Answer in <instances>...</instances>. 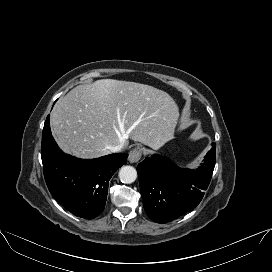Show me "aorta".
Returning a JSON list of instances; mask_svg holds the SVG:
<instances>
[{
  "label": "aorta",
  "instance_id": "obj_1",
  "mask_svg": "<svg viewBox=\"0 0 272 272\" xmlns=\"http://www.w3.org/2000/svg\"><path fill=\"white\" fill-rule=\"evenodd\" d=\"M119 178L122 183H133L137 178V171L132 166H123L119 171Z\"/></svg>",
  "mask_w": 272,
  "mask_h": 272
}]
</instances>
